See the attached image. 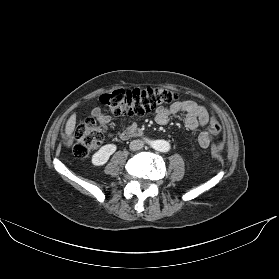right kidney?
<instances>
[{
    "label": "right kidney",
    "instance_id": "1",
    "mask_svg": "<svg viewBox=\"0 0 279 279\" xmlns=\"http://www.w3.org/2000/svg\"><path fill=\"white\" fill-rule=\"evenodd\" d=\"M117 146L115 144H106L102 146L92 156V164L95 166L104 165L110 158V156L116 151Z\"/></svg>",
    "mask_w": 279,
    "mask_h": 279
}]
</instances>
